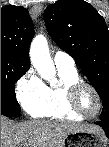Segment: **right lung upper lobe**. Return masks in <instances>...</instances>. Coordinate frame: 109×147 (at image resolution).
<instances>
[{"instance_id":"1","label":"right lung upper lobe","mask_w":109,"mask_h":147,"mask_svg":"<svg viewBox=\"0 0 109 147\" xmlns=\"http://www.w3.org/2000/svg\"><path fill=\"white\" fill-rule=\"evenodd\" d=\"M34 25L29 12L22 6L1 8V55L30 67L29 47Z\"/></svg>"}]
</instances>
